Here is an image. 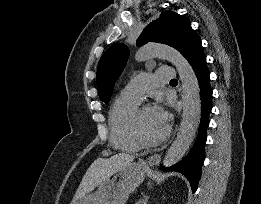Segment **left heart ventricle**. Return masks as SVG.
I'll list each match as a JSON object with an SVG mask.
<instances>
[{
  "mask_svg": "<svg viewBox=\"0 0 261 204\" xmlns=\"http://www.w3.org/2000/svg\"><path fill=\"white\" fill-rule=\"evenodd\" d=\"M141 127L148 138L156 139L165 132L167 126L158 120L153 107H149L142 112Z\"/></svg>",
  "mask_w": 261,
  "mask_h": 204,
  "instance_id": "left-heart-ventricle-1",
  "label": "left heart ventricle"
}]
</instances>
